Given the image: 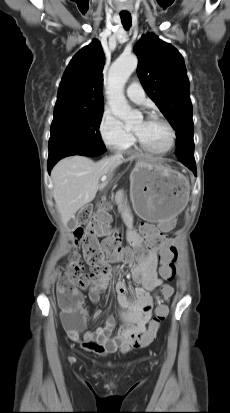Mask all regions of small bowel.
I'll list each match as a JSON object with an SVG mask.
<instances>
[{
  "mask_svg": "<svg viewBox=\"0 0 230 413\" xmlns=\"http://www.w3.org/2000/svg\"><path fill=\"white\" fill-rule=\"evenodd\" d=\"M176 216L172 218H162L161 222L157 223V229L150 226L151 221L148 218L142 221L143 237L135 231H129L128 238L133 248L140 249L144 240L146 244L153 238L159 237V231H174V221ZM119 257H109L108 261L113 263L118 261ZM114 268H110L103 276L102 283L99 285L92 284L88 287V299L91 303L99 301V293L107 288L111 279ZM132 279L139 285L133 291V297L129 298L126 295V285L123 282H118L115 286L117 302L119 304V318L122 322L121 328L113 335L115 329V319L112 316H106L104 325L98 327L94 331H87L81 335L82 327L88 319V312L83 309V299L78 290H74V294L79 297L78 310L81 313L79 323L72 321L70 312L63 311L61 319L66 329V332L71 340L79 343L81 347L93 354L106 355L117 350L127 351V346L133 339L142 335L146 331V325L149 321L153 310V298L156 293H160L162 297L170 298L174 293V288L164 283L165 278L157 273V259L155 254H150L140 260L138 266L131 270ZM155 292V294H151ZM101 317V312L96 311L93 314L94 319Z\"/></svg>",
  "mask_w": 230,
  "mask_h": 413,
  "instance_id": "c3829d8e",
  "label": "small bowel"
}]
</instances>
